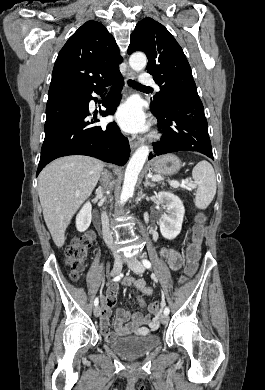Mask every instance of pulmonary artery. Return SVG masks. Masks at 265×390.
Returning <instances> with one entry per match:
<instances>
[{
  "label": "pulmonary artery",
  "mask_w": 265,
  "mask_h": 390,
  "mask_svg": "<svg viewBox=\"0 0 265 390\" xmlns=\"http://www.w3.org/2000/svg\"><path fill=\"white\" fill-rule=\"evenodd\" d=\"M140 82L143 85L152 86V87H154L156 89H159V86L154 82L153 78L150 75L146 74V73L141 75Z\"/></svg>",
  "instance_id": "obj_1"
}]
</instances>
